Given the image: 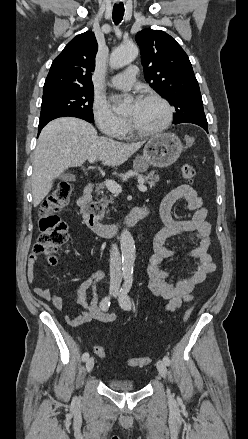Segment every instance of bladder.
Here are the masks:
<instances>
[{
    "mask_svg": "<svg viewBox=\"0 0 248 439\" xmlns=\"http://www.w3.org/2000/svg\"><path fill=\"white\" fill-rule=\"evenodd\" d=\"M108 386L111 390L118 392H131L135 390L134 383L129 380L111 378L108 380Z\"/></svg>",
    "mask_w": 248,
    "mask_h": 439,
    "instance_id": "1",
    "label": "bladder"
}]
</instances>
